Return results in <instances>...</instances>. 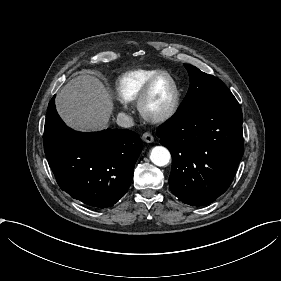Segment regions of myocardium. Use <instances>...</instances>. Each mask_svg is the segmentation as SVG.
Wrapping results in <instances>:
<instances>
[{
  "instance_id": "1",
  "label": "myocardium",
  "mask_w": 281,
  "mask_h": 281,
  "mask_svg": "<svg viewBox=\"0 0 281 281\" xmlns=\"http://www.w3.org/2000/svg\"><path fill=\"white\" fill-rule=\"evenodd\" d=\"M163 79H168L172 84L173 87L172 100L169 107L165 111L160 113H152L148 110L147 105L153 95L157 83ZM179 100H180V91H179L178 83L172 74L165 72L153 77L147 83V85L145 86L144 90L142 91L141 95L138 98L137 108L139 114L144 120L153 123H160V122L168 121L175 115L178 109Z\"/></svg>"
}]
</instances>
